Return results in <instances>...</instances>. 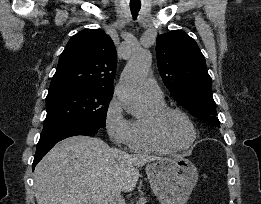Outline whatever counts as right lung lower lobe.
Returning <instances> with one entry per match:
<instances>
[{
  "instance_id": "right-lung-lower-lobe-1",
  "label": "right lung lower lobe",
  "mask_w": 261,
  "mask_h": 204,
  "mask_svg": "<svg viewBox=\"0 0 261 204\" xmlns=\"http://www.w3.org/2000/svg\"><path fill=\"white\" fill-rule=\"evenodd\" d=\"M99 128L100 127L91 124H75L42 131L40 140L37 144L32 169L34 170L36 164L57 142L76 135H93L97 133Z\"/></svg>"
}]
</instances>
